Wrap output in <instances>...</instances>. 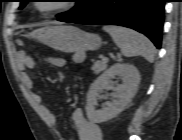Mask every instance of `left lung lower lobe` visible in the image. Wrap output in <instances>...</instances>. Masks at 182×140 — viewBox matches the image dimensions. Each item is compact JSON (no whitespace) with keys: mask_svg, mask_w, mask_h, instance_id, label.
Returning <instances> with one entry per match:
<instances>
[{"mask_svg":"<svg viewBox=\"0 0 182 140\" xmlns=\"http://www.w3.org/2000/svg\"><path fill=\"white\" fill-rule=\"evenodd\" d=\"M165 2L166 0H102L95 10L72 23L132 28L146 35L160 49Z\"/></svg>","mask_w":182,"mask_h":140,"instance_id":"1","label":"left lung lower lobe"}]
</instances>
